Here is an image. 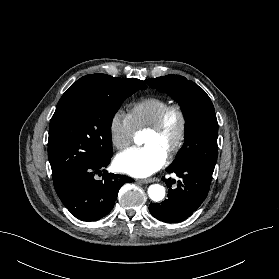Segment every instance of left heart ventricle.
I'll return each instance as SVG.
<instances>
[{
    "label": "left heart ventricle",
    "instance_id": "obj_1",
    "mask_svg": "<svg viewBox=\"0 0 279 279\" xmlns=\"http://www.w3.org/2000/svg\"><path fill=\"white\" fill-rule=\"evenodd\" d=\"M180 130V119L176 113L170 114L164 128L159 132L147 131L143 142L145 145H153L168 155L177 141Z\"/></svg>",
    "mask_w": 279,
    "mask_h": 279
}]
</instances>
